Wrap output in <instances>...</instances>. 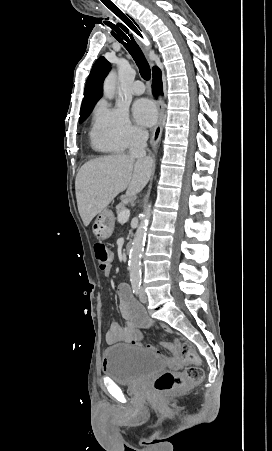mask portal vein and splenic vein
<instances>
[{
    "label": "portal vein and splenic vein",
    "mask_w": 272,
    "mask_h": 451,
    "mask_svg": "<svg viewBox=\"0 0 272 451\" xmlns=\"http://www.w3.org/2000/svg\"><path fill=\"white\" fill-rule=\"evenodd\" d=\"M129 216L130 210H123V212H120V214H118V222H120V224H125V222H128Z\"/></svg>",
    "instance_id": "obj_1"
}]
</instances>
